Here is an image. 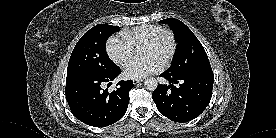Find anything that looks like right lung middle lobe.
Segmentation results:
<instances>
[{"mask_svg": "<svg viewBox=\"0 0 276 138\" xmlns=\"http://www.w3.org/2000/svg\"><path fill=\"white\" fill-rule=\"evenodd\" d=\"M118 26L99 24L87 31L77 42L68 63L67 79L114 72L118 66L108 57L105 43L109 36L119 31Z\"/></svg>", "mask_w": 276, "mask_h": 138, "instance_id": "obj_1", "label": "right lung middle lobe"}]
</instances>
